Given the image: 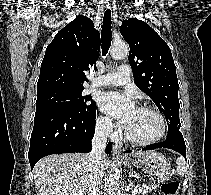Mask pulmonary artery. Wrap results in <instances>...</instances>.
<instances>
[{"instance_id":"e3ab8cb5","label":"pulmonary artery","mask_w":211,"mask_h":195,"mask_svg":"<svg viewBox=\"0 0 211 195\" xmlns=\"http://www.w3.org/2000/svg\"><path fill=\"white\" fill-rule=\"evenodd\" d=\"M130 82V68L128 65H121L119 68L93 79L91 83L92 88L111 87L125 85Z\"/></svg>"}]
</instances>
